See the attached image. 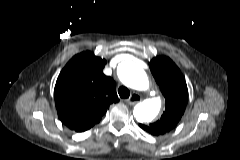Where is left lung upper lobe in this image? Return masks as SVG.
<instances>
[{
    "instance_id": "left-lung-upper-lobe-1",
    "label": "left lung upper lobe",
    "mask_w": 240,
    "mask_h": 160,
    "mask_svg": "<svg viewBox=\"0 0 240 160\" xmlns=\"http://www.w3.org/2000/svg\"><path fill=\"white\" fill-rule=\"evenodd\" d=\"M149 67L165 97V111L158 121L140 124V127H147L153 134L162 135L174 129L181 119L188 102V89L181 71L168 57L153 58Z\"/></svg>"
}]
</instances>
